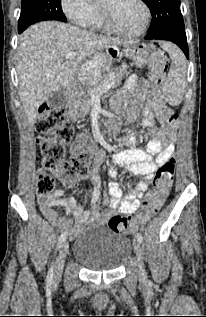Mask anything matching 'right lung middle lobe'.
Listing matches in <instances>:
<instances>
[{"instance_id": "1", "label": "right lung middle lobe", "mask_w": 206, "mask_h": 317, "mask_svg": "<svg viewBox=\"0 0 206 317\" xmlns=\"http://www.w3.org/2000/svg\"><path fill=\"white\" fill-rule=\"evenodd\" d=\"M44 20L66 21L61 0H22L18 31L22 33L29 25Z\"/></svg>"}]
</instances>
